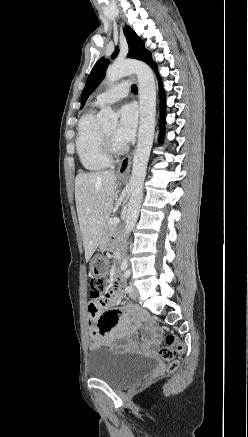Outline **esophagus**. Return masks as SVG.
<instances>
[{
  "instance_id": "esophagus-1",
  "label": "esophagus",
  "mask_w": 248,
  "mask_h": 437,
  "mask_svg": "<svg viewBox=\"0 0 248 437\" xmlns=\"http://www.w3.org/2000/svg\"><path fill=\"white\" fill-rule=\"evenodd\" d=\"M133 152L126 155L120 162L119 167L117 169V175L118 176H124L130 171L131 163H132V157Z\"/></svg>"
}]
</instances>
